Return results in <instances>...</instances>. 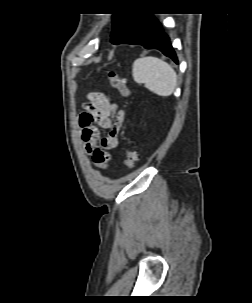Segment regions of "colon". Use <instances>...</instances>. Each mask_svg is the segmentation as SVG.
Returning a JSON list of instances; mask_svg holds the SVG:
<instances>
[{"instance_id": "1", "label": "colon", "mask_w": 252, "mask_h": 303, "mask_svg": "<svg viewBox=\"0 0 252 303\" xmlns=\"http://www.w3.org/2000/svg\"><path fill=\"white\" fill-rule=\"evenodd\" d=\"M107 77L110 81L111 86L118 90L120 95L124 98H128L131 95V90L127 85L126 79L115 73L114 71H108ZM126 166L128 169H133L137 163L138 157L136 152L127 147L124 150Z\"/></svg>"}]
</instances>
